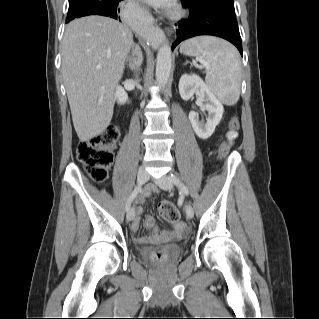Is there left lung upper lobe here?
<instances>
[{
    "instance_id": "obj_1",
    "label": "left lung upper lobe",
    "mask_w": 319,
    "mask_h": 319,
    "mask_svg": "<svg viewBox=\"0 0 319 319\" xmlns=\"http://www.w3.org/2000/svg\"><path fill=\"white\" fill-rule=\"evenodd\" d=\"M184 6L220 11L235 16L233 0H181Z\"/></svg>"
}]
</instances>
